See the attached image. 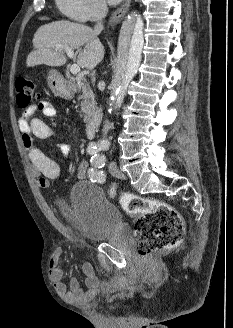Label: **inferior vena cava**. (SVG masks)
Instances as JSON below:
<instances>
[{
    "instance_id": "1",
    "label": "inferior vena cava",
    "mask_w": 233,
    "mask_h": 328,
    "mask_svg": "<svg viewBox=\"0 0 233 328\" xmlns=\"http://www.w3.org/2000/svg\"><path fill=\"white\" fill-rule=\"evenodd\" d=\"M107 12L108 8L104 1L99 0L95 3L93 8V20L96 22L94 26L96 32H100L103 29V19L106 17ZM109 127L110 124L106 121L103 129L105 135L107 134Z\"/></svg>"
}]
</instances>
